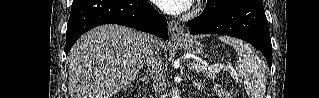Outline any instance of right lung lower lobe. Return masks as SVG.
<instances>
[{
	"label": "right lung lower lobe",
	"mask_w": 319,
	"mask_h": 98,
	"mask_svg": "<svg viewBox=\"0 0 319 98\" xmlns=\"http://www.w3.org/2000/svg\"><path fill=\"white\" fill-rule=\"evenodd\" d=\"M108 23L168 39L166 19L145 0H74L66 32V54L83 33Z\"/></svg>",
	"instance_id": "obj_1"
}]
</instances>
